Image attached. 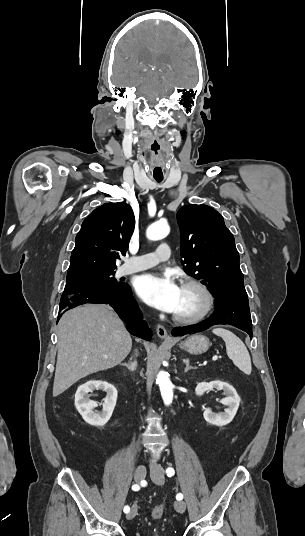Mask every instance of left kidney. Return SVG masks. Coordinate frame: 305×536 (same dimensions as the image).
Returning a JSON list of instances; mask_svg holds the SVG:
<instances>
[{"label": "left kidney", "instance_id": "5707ae66", "mask_svg": "<svg viewBox=\"0 0 305 536\" xmlns=\"http://www.w3.org/2000/svg\"><path fill=\"white\" fill-rule=\"evenodd\" d=\"M212 388H216V390H224L227 398H223L220 402L221 404H224V406H228V408H226L224 412H220V414H214V412H211L210 408H207L203 416L209 424H214V426H226V424L232 422L239 408L240 398L233 386L226 384V382H219V380L209 382V384L208 382H200V384L196 386L195 392L197 396H203L204 392L212 390Z\"/></svg>", "mask_w": 305, "mask_h": 536}]
</instances>
